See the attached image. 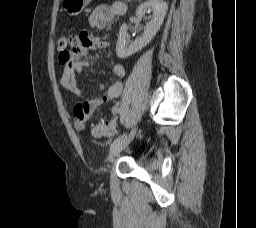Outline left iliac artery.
I'll use <instances>...</instances> for the list:
<instances>
[{"label":"left iliac artery","mask_w":256,"mask_h":228,"mask_svg":"<svg viewBox=\"0 0 256 228\" xmlns=\"http://www.w3.org/2000/svg\"><path fill=\"white\" fill-rule=\"evenodd\" d=\"M124 135H125V134L118 136V137L114 140L113 143H116L117 141H119Z\"/></svg>","instance_id":"44dca946"}]
</instances>
